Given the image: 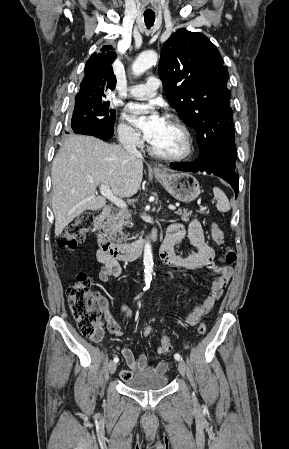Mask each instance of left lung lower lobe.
<instances>
[{
    "mask_svg": "<svg viewBox=\"0 0 289 449\" xmlns=\"http://www.w3.org/2000/svg\"><path fill=\"white\" fill-rule=\"evenodd\" d=\"M170 167L184 172H207L208 174H214L226 180L231 184L237 197L239 189V176L236 173V162L227 164L220 168L212 161L196 159L194 162H178L171 163Z\"/></svg>",
    "mask_w": 289,
    "mask_h": 449,
    "instance_id": "obj_1",
    "label": "left lung lower lobe"
}]
</instances>
